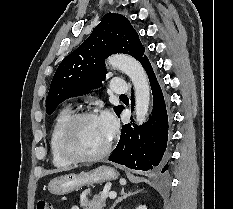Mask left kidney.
I'll list each match as a JSON object with an SVG mask.
<instances>
[{
	"instance_id": "left-kidney-1",
	"label": "left kidney",
	"mask_w": 233,
	"mask_h": 209,
	"mask_svg": "<svg viewBox=\"0 0 233 209\" xmlns=\"http://www.w3.org/2000/svg\"><path fill=\"white\" fill-rule=\"evenodd\" d=\"M136 209H147V207L145 205H141V206L137 207Z\"/></svg>"
}]
</instances>
